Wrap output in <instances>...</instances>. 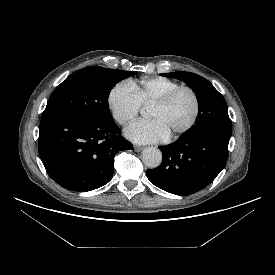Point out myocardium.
Listing matches in <instances>:
<instances>
[{
  "mask_svg": "<svg viewBox=\"0 0 275 275\" xmlns=\"http://www.w3.org/2000/svg\"><path fill=\"white\" fill-rule=\"evenodd\" d=\"M181 91H187L191 94V96L193 98V102H194V112H193V115H192L190 121L183 128H181L180 130H178L175 133L170 135L171 139H177V138L181 137L182 135H184L185 133L190 131L195 126V124L199 118V115H200V100H199V97H198L196 91L190 86L179 85L178 87L169 91L161 99H159L158 101H156L153 104V106H156L159 108H165L173 101V99Z\"/></svg>",
  "mask_w": 275,
  "mask_h": 275,
  "instance_id": "f54148a6",
  "label": "myocardium"
}]
</instances>
